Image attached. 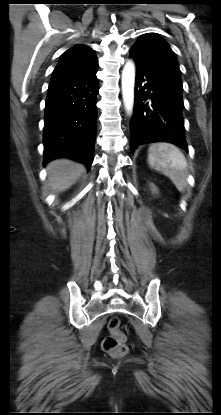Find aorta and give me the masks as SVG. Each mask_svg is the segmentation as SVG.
<instances>
[{"mask_svg": "<svg viewBox=\"0 0 221 415\" xmlns=\"http://www.w3.org/2000/svg\"><path fill=\"white\" fill-rule=\"evenodd\" d=\"M135 65L128 61L122 71V95L127 113H131L134 105Z\"/></svg>", "mask_w": 221, "mask_h": 415, "instance_id": "762f6f07", "label": "aorta"}]
</instances>
